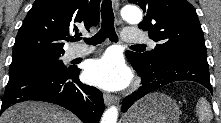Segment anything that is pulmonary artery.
<instances>
[{
	"label": "pulmonary artery",
	"mask_w": 221,
	"mask_h": 123,
	"mask_svg": "<svg viewBox=\"0 0 221 123\" xmlns=\"http://www.w3.org/2000/svg\"><path fill=\"white\" fill-rule=\"evenodd\" d=\"M123 40L128 43H140L148 41L151 46H154V42L149 40L144 32L137 28H127L123 32ZM94 51L93 47H88L85 45H77L70 48L67 52V57L69 59H74L77 57H81L87 54H90Z\"/></svg>",
	"instance_id": "pulmonary-artery-1"
}]
</instances>
